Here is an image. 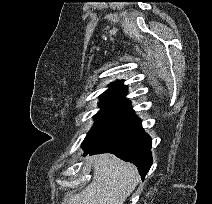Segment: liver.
<instances>
[{"label": "liver", "mask_w": 212, "mask_h": 204, "mask_svg": "<svg viewBox=\"0 0 212 204\" xmlns=\"http://www.w3.org/2000/svg\"><path fill=\"white\" fill-rule=\"evenodd\" d=\"M90 160L92 182L78 194H67L62 204H124L141 180L137 168L112 154Z\"/></svg>", "instance_id": "1"}]
</instances>
